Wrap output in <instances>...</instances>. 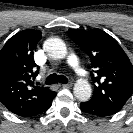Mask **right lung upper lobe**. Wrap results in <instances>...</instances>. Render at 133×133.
I'll return each instance as SVG.
<instances>
[{
  "label": "right lung upper lobe",
  "instance_id": "cb5924a9",
  "mask_svg": "<svg viewBox=\"0 0 133 133\" xmlns=\"http://www.w3.org/2000/svg\"><path fill=\"white\" fill-rule=\"evenodd\" d=\"M41 32L23 30L11 37L0 51V101L12 113L31 117L46 111L56 93L35 86L38 75L33 59Z\"/></svg>",
  "mask_w": 133,
  "mask_h": 133
}]
</instances>
